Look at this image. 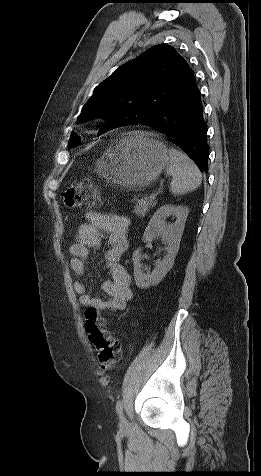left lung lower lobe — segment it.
I'll list each match as a JSON object with an SVG mask.
<instances>
[{
	"label": "left lung lower lobe",
	"mask_w": 261,
	"mask_h": 476,
	"mask_svg": "<svg viewBox=\"0 0 261 476\" xmlns=\"http://www.w3.org/2000/svg\"><path fill=\"white\" fill-rule=\"evenodd\" d=\"M143 125L165 135L173 145L182 149L198 167L208 170L209 147L207 125L203 117L200 90L195 78L160 115L146 120Z\"/></svg>",
	"instance_id": "1"
}]
</instances>
